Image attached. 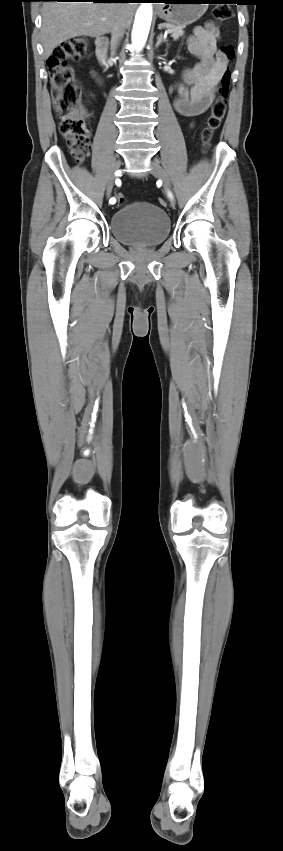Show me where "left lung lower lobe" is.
Masks as SVG:
<instances>
[{
    "mask_svg": "<svg viewBox=\"0 0 283 851\" xmlns=\"http://www.w3.org/2000/svg\"><path fill=\"white\" fill-rule=\"evenodd\" d=\"M209 1V0H208ZM212 3H228V4H239L238 0H214ZM209 3V2H208Z\"/></svg>",
    "mask_w": 283,
    "mask_h": 851,
    "instance_id": "obj_1",
    "label": "left lung lower lobe"
}]
</instances>
